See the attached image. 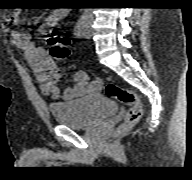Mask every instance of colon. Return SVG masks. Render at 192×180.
Returning a JSON list of instances; mask_svg holds the SVG:
<instances>
[{
	"mask_svg": "<svg viewBox=\"0 0 192 180\" xmlns=\"http://www.w3.org/2000/svg\"><path fill=\"white\" fill-rule=\"evenodd\" d=\"M46 38L50 45L49 55L52 58L64 60L69 57L71 39L67 35L60 33L56 29H51ZM105 93L128 105V112L118 129L119 134L125 132L139 121L142 115V106L138 96L134 92L118 83L109 82L105 87Z\"/></svg>",
	"mask_w": 192,
	"mask_h": 180,
	"instance_id": "5ec220e1",
	"label": "colon"
}]
</instances>
